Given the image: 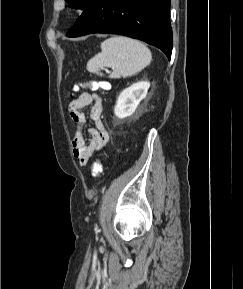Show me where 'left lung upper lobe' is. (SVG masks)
Segmentation results:
<instances>
[{
	"label": "left lung upper lobe",
	"mask_w": 243,
	"mask_h": 289,
	"mask_svg": "<svg viewBox=\"0 0 243 289\" xmlns=\"http://www.w3.org/2000/svg\"><path fill=\"white\" fill-rule=\"evenodd\" d=\"M69 5L84 10L91 0H65Z\"/></svg>",
	"instance_id": "1"
}]
</instances>
